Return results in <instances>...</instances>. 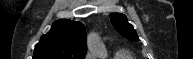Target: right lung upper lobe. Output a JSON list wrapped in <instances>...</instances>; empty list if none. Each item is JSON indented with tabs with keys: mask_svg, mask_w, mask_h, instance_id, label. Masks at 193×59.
Masks as SVG:
<instances>
[{
	"mask_svg": "<svg viewBox=\"0 0 193 59\" xmlns=\"http://www.w3.org/2000/svg\"><path fill=\"white\" fill-rule=\"evenodd\" d=\"M86 31L80 22L58 20L35 46L33 59H84Z\"/></svg>",
	"mask_w": 193,
	"mask_h": 59,
	"instance_id": "obj_1",
	"label": "right lung upper lobe"
}]
</instances>
